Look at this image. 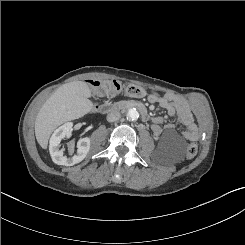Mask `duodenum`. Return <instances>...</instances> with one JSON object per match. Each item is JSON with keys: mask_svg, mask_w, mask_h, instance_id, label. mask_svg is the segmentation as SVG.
<instances>
[{"mask_svg": "<svg viewBox=\"0 0 245 245\" xmlns=\"http://www.w3.org/2000/svg\"><path fill=\"white\" fill-rule=\"evenodd\" d=\"M135 108L137 109L144 120L149 119L147 108L140 102L137 101H123L118 103H105L101 105L100 111L103 113H109L120 109Z\"/></svg>", "mask_w": 245, "mask_h": 245, "instance_id": "1", "label": "duodenum"}]
</instances>
